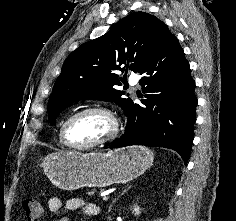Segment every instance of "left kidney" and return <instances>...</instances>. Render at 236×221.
Instances as JSON below:
<instances>
[{
	"label": "left kidney",
	"mask_w": 236,
	"mask_h": 221,
	"mask_svg": "<svg viewBox=\"0 0 236 221\" xmlns=\"http://www.w3.org/2000/svg\"><path fill=\"white\" fill-rule=\"evenodd\" d=\"M133 212L135 213V215H139L140 214L139 206H135Z\"/></svg>",
	"instance_id": "left-kidney-1"
}]
</instances>
